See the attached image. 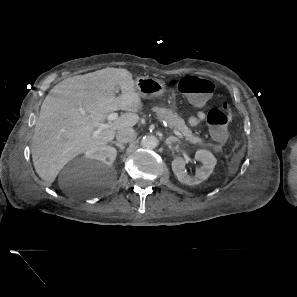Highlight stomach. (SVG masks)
Wrapping results in <instances>:
<instances>
[{"mask_svg": "<svg viewBox=\"0 0 297 297\" xmlns=\"http://www.w3.org/2000/svg\"><path fill=\"white\" fill-rule=\"evenodd\" d=\"M135 90L143 98L161 96L165 92V83L156 78L144 76L138 77L135 82Z\"/></svg>", "mask_w": 297, "mask_h": 297, "instance_id": "1", "label": "stomach"}]
</instances>
